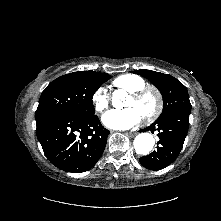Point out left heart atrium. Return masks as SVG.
Wrapping results in <instances>:
<instances>
[{
  "label": "left heart atrium",
  "instance_id": "1",
  "mask_svg": "<svg viewBox=\"0 0 221 221\" xmlns=\"http://www.w3.org/2000/svg\"><path fill=\"white\" fill-rule=\"evenodd\" d=\"M142 117L133 107L109 110L102 116L103 124L111 129L125 130L136 126Z\"/></svg>",
  "mask_w": 221,
  "mask_h": 221
}]
</instances>
